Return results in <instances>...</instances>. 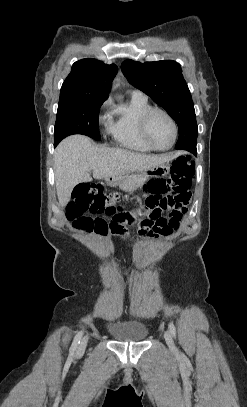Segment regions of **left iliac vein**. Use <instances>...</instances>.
<instances>
[{
  "mask_svg": "<svg viewBox=\"0 0 247 407\" xmlns=\"http://www.w3.org/2000/svg\"><path fill=\"white\" fill-rule=\"evenodd\" d=\"M164 338H165V341H166L168 347L170 349H174L175 347H174V342H173V339H172V335L168 330H166L164 332Z\"/></svg>",
  "mask_w": 247,
  "mask_h": 407,
  "instance_id": "left-iliac-vein-1",
  "label": "left iliac vein"
}]
</instances>
